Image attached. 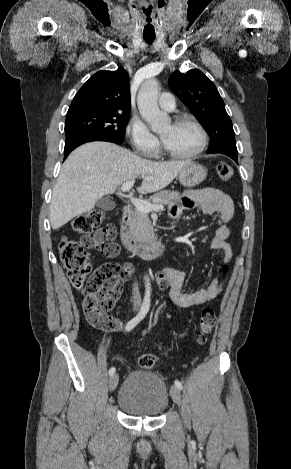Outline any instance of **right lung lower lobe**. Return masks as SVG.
<instances>
[{
    "mask_svg": "<svg viewBox=\"0 0 291 469\" xmlns=\"http://www.w3.org/2000/svg\"><path fill=\"white\" fill-rule=\"evenodd\" d=\"M92 141H108L116 144H121L123 143V138L104 135H77L68 137L65 141L64 159H66L70 152L79 145Z\"/></svg>",
    "mask_w": 291,
    "mask_h": 469,
    "instance_id": "1",
    "label": "right lung lower lobe"
}]
</instances>
